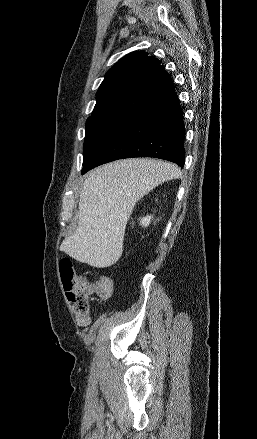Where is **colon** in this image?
Masks as SVG:
<instances>
[{
  "label": "colon",
  "mask_w": 257,
  "mask_h": 439,
  "mask_svg": "<svg viewBox=\"0 0 257 439\" xmlns=\"http://www.w3.org/2000/svg\"><path fill=\"white\" fill-rule=\"evenodd\" d=\"M60 274L69 305L78 316L89 315V298L92 295L103 298L112 293L113 285L110 278L100 276L95 282L90 283L77 274L75 264L69 258L61 259Z\"/></svg>",
  "instance_id": "1"
}]
</instances>
